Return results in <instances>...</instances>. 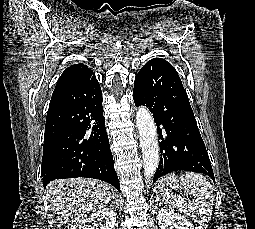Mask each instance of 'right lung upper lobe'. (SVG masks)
<instances>
[{"label":"right lung upper lobe","instance_id":"right-lung-upper-lobe-1","mask_svg":"<svg viewBox=\"0 0 255 229\" xmlns=\"http://www.w3.org/2000/svg\"><path fill=\"white\" fill-rule=\"evenodd\" d=\"M86 68H87V66L84 65V64H75V65H72V66L68 67V68L62 73V75L60 76V78H59V80H58V83H57V85H56V87H55V90H54V92H53V94H52V98H55V97H57L58 95H60V94L63 92L66 83H68L69 80H70L73 76H75V75L81 73V72L84 71Z\"/></svg>","mask_w":255,"mask_h":229}]
</instances>
